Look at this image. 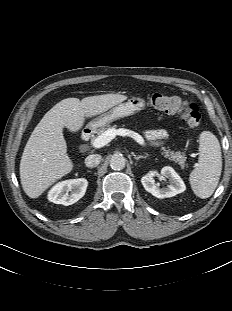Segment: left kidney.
Here are the masks:
<instances>
[{"label": "left kidney", "instance_id": "1", "mask_svg": "<svg viewBox=\"0 0 232 311\" xmlns=\"http://www.w3.org/2000/svg\"><path fill=\"white\" fill-rule=\"evenodd\" d=\"M158 175L159 174L157 171H149L141 178L143 187L153 196L160 199L169 198L186 190V186L183 180L172 167L165 166L161 170V175L165 178H168L170 181V185H168L166 188H159L155 183L154 177Z\"/></svg>", "mask_w": 232, "mask_h": 311}]
</instances>
